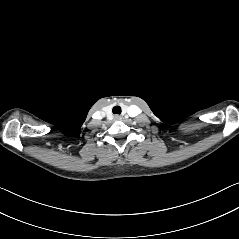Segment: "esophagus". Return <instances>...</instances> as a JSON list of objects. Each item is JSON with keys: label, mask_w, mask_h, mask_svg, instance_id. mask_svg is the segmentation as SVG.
Returning a JSON list of instances; mask_svg holds the SVG:
<instances>
[{"label": "esophagus", "mask_w": 239, "mask_h": 239, "mask_svg": "<svg viewBox=\"0 0 239 239\" xmlns=\"http://www.w3.org/2000/svg\"><path fill=\"white\" fill-rule=\"evenodd\" d=\"M114 119H115V120H121L122 117H121L120 115H115V116H114Z\"/></svg>", "instance_id": "obj_1"}]
</instances>
